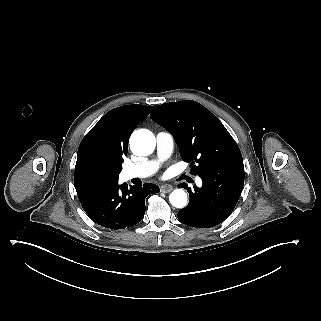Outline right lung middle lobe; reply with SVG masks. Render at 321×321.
<instances>
[{
    "instance_id": "right-lung-middle-lobe-1",
    "label": "right lung middle lobe",
    "mask_w": 321,
    "mask_h": 321,
    "mask_svg": "<svg viewBox=\"0 0 321 321\" xmlns=\"http://www.w3.org/2000/svg\"><path fill=\"white\" fill-rule=\"evenodd\" d=\"M122 162H123V160H120L119 162L112 164L110 161H108L107 159H104V158H97L96 159V164L99 167H106V166L112 165L115 169L116 179L122 170Z\"/></svg>"
}]
</instances>
